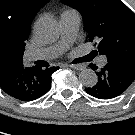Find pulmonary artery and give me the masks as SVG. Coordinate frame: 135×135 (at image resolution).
Returning a JSON list of instances; mask_svg holds the SVG:
<instances>
[{"instance_id":"1","label":"pulmonary artery","mask_w":135,"mask_h":135,"mask_svg":"<svg viewBox=\"0 0 135 135\" xmlns=\"http://www.w3.org/2000/svg\"><path fill=\"white\" fill-rule=\"evenodd\" d=\"M59 23L61 28V36L59 41L52 46L26 52L25 57L28 61L53 59L61 55L70 47L76 38L80 25V17L75 11L64 12L59 18ZM106 62V57L102 56L100 58V64L105 65Z\"/></svg>"}]
</instances>
